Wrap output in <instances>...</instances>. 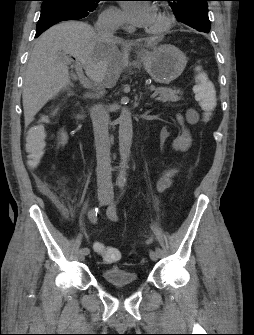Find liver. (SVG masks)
Here are the masks:
<instances>
[{
  "label": "liver",
  "instance_id": "1",
  "mask_svg": "<svg viewBox=\"0 0 254 335\" xmlns=\"http://www.w3.org/2000/svg\"><path fill=\"white\" fill-rule=\"evenodd\" d=\"M115 37H100L87 23L69 21L54 25L36 41L31 53L24 83L23 109L29 125L41 108L62 90L72 85L68 61H80L86 75L98 90L116 85L128 56L122 54ZM152 40H147L151 47Z\"/></svg>",
  "mask_w": 254,
  "mask_h": 335
}]
</instances>
